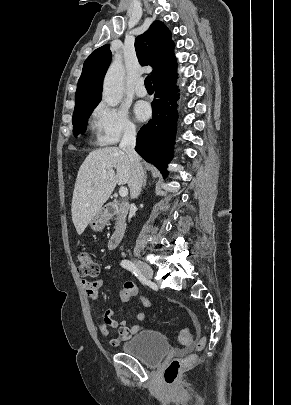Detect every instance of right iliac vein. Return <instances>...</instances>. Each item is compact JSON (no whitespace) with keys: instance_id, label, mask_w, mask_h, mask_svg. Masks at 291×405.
I'll return each instance as SVG.
<instances>
[{"instance_id":"1","label":"right iliac vein","mask_w":291,"mask_h":405,"mask_svg":"<svg viewBox=\"0 0 291 405\" xmlns=\"http://www.w3.org/2000/svg\"><path fill=\"white\" fill-rule=\"evenodd\" d=\"M135 264H136V266L138 267V269H139L148 279H151V278L153 277V270H152V268H151L148 264H146V263H144V262H142V261H136Z\"/></svg>"}]
</instances>
